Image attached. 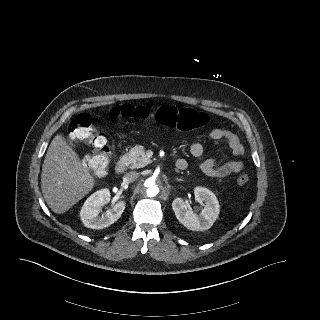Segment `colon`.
<instances>
[{"label":"colon","instance_id":"5ec220e1","mask_svg":"<svg viewBox=\"0 0 320 320\" xmlns=\"http://www.w3.org/2000/svg\"><path fill=\"white\" fill-rule=\"evenodd\" d=\"M112 115L144 120L151 116V112L144 106L124 104L115 107ZM154 117L160 125L181 131L196 130L209 122L205 113L176 106H163L156 111ZM69 132L73 138L86 143L92 149L84 158L87 167L97 175H105L109 168V148L105 136L94 127L90 116L82 113L73 118L69 124ZM249 179L247 174H241L237 182L245 185Z\"/></svg>","mask_w":320,"mask_h":320}]
</instances>
